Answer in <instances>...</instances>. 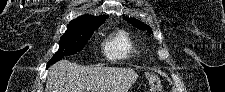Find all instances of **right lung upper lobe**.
Returning <instances> with one entry per match:
<instances>
[{"instance_id":"cb5924a9","label":"right lung upper lobe","mask_w":225,"mask_h":92,"mask_svg":"<svg viewBox=\"0 0 225 92\" xmlns=\"http://www.w3.org/2000/svg\"><path fill=\"white\" fill-rule=\"evenodd\" d=\"M107 16H93V15H83L81 17H78L74 20H72L68 26L67 30H74L82 26H86L89 24H93L96 22H99L101 20L106 19Z\"/></svg>"}]
</instances>
